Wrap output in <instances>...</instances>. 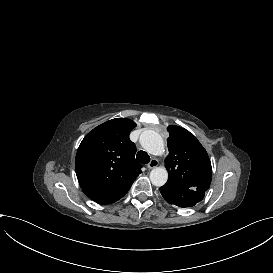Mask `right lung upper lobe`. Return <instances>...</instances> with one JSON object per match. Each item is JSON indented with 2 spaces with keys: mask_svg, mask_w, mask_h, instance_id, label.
I'll use <instances>...</instances> for the list:
<instances>
[{
  "mask_svg": "<svg viewBox=\"0 0 273 273\" xmlns=\"http://www.w3.org/2000/svg\"><path fill=\"white\" fill-rule=\"evenodd\" d=\"M134 127L136 123L130 119L115 118L94 128L80 143L76 175L93 201L110 204L119 200L141 173L135 145L129 139Z\"/></svg>",
  "mask_w": 273,
  "mask_h": 273,
  "instance_id": "1",
  "label": "right lung upper lobe"
}]
</instances>
